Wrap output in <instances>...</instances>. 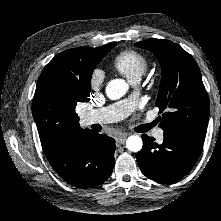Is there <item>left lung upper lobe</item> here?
Instances as JSON below:
<instances>
[{
  "label": "left lung upper lobe",
  "instance_id": "1",
  "mask_svg": "<svg viewBox=\"0 0 221 221\" xmlns=\"http://www.w3.org/2000/svg\"><path fill=\"white\" fill-rule=\"evenodd\" d=\"M135 45L151 51L159 60L162 78L156 106L159 126L204 144L209 120V97L193 57L178 44L150 38Z\"/></svg>",
  "mask_w": 221,
  "mask_h": 221
}]
</instances>
